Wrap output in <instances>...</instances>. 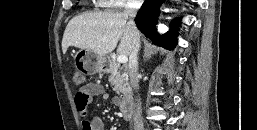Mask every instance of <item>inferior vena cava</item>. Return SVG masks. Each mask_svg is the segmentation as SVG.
<instances>
[{
	"label": "inferior vena cava",
	"mask_w": 257,
	"mask_h": 130,
	"mask_svg": "<svg viewBox=\"0 0 257 130\" xmlns=\"http://www.w3.org/2000/svg\"><path fill=\"white\" fill-rule=\"evenodd\" d=\"M138 10V0H133V4L129 6L125 12L124 17L128 19L127 25L132 36V50L129 55V76L132 88L137 92L139 89L138 78V51L140 47V34L134 22ZM134 130H143L142 110L139 95L134 99Z\"/></svg>",
	"instance_id": "obj_1"
}]
</instances>
